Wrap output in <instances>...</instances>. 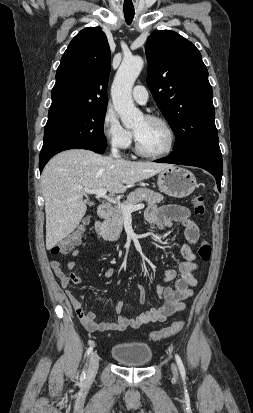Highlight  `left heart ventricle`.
I'll list each match as a JSON object with an SVG mask.
<instances>
[{
	"instance_id": "1",
	"label": "left heart ventricle",
	"mask_w": 253,
	"mask_h": 413,
	"mask_svg": "<svg viewBox=\"0 0 253 413\" xmlns=\"http://www.w3.org/2000/svg\"><path fill=\"white\" fill-rule=\"evenodd\" d=\"M133 130L141 148L147 152H159L168 145L167 131L156 122L142 118L135 124Z\"/></svg>"
}]
</instances>
